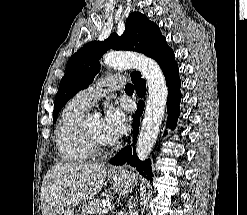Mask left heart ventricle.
Masks as SVG:
<instances>
[{
    "label": "left heart ventricle",
    "instance_id": "left-heart-ventricle-1",
    "mask_svg": "<svg viewBox=\"0 0 247 215\" xmlns=\"http://www.w3.org/2000/svg\"><path fill=\"white\" fill-rule=\"evenodd\" d=\"M97 139L107 142L102 133V122L100 120L92 121L85 126Z\"/></svg>",
    "mask_w": 247,
    "mask_h": 215
}]
</instances>
